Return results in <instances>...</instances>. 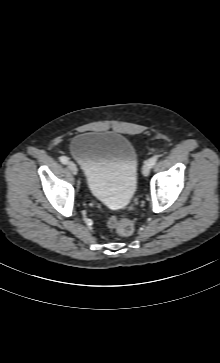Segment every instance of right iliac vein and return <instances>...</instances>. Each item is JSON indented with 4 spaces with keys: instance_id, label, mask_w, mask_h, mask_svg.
Wrapping results in <instances>:
<instances>
[{
    "instance_id": "1",
    "label": "right iliac vein",
    "mask_w": 220,
    "mask_h": 363,
    "mask_svg": "<svg viewBox=\"0 0 220 363\" xmlns=\"http://www.w3.org/2000/svg\"><path fill=\"white\" fill-rule=\"evenodd\" d=\"M67 166H68V168H69V170L71 171L72 174L77 175L78 169H77V166H76V164L74 162L69 161L67 163Z\"/></svg>"
}]
</instances>
